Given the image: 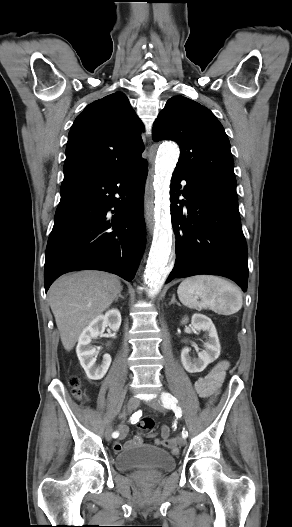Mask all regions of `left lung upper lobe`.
Returning <instances> with one entry per match:
<instances>
[{
  "mask_svg": "<svg viewBox=\"0 0 292 527\" xmlns=\"http://www.w3.org/2000/svg\"><path fill=\"white\" fill-rule=\"evenodd\" d=\"M164 139L180 146L174 172L187 180L236 190L230 142L209 109L184 96H173L154 122L153 140Z\"/></svg>",
  "mask_w": 292,
  "mask_h": 527,
  "instance_id": "5c2ea615",
  "label": "left lung upper lobe"
}]
</instances>
